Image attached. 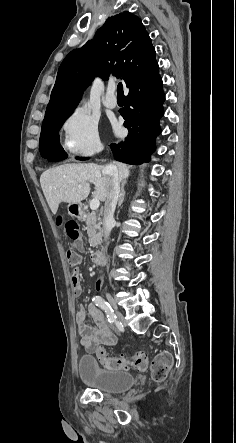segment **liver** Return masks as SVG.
<instances>
[{"label": "liver", "mask_w": 236, "mask_h": 443, "mask_svg": "<svg viewBox=\"0 0 236 443\" xmlns=\"http://www.w3.org/2000/svg\"><path fill=\"white\" fill-rule=\"evenodd\" d=\"M119 180L128 178L129 166L113 162ZM105 166L88 164H66L46 170L40 176V184L46 201L53 214L61 202L79 204L90 193V183L95 185L94 199L105 201L109 193V178L103 174ZM79 185L82 187L79 188Z\"/></svg>", "instance_id": "1"}]
</instances>
